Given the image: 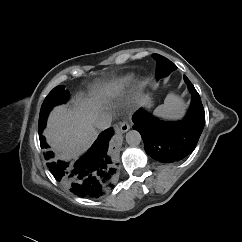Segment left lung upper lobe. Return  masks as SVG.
<instances>
[{
	"instance_id": "5c2ea615",
	"label": "left lung upper lobe",
	"mask_w": 242,
	"mask_h": 242,
	"mask_svg": "<svg viewBox=\"0 0 242 242\" xmlns=\"http://www.w3.org/2000/svg\"><path fill=\"white\" fill-rule=\"evenodd\" d=\"M154 59L157 61L156 78L159 79L161 76H167L171 71L176 69V65L173 64L167 58L153 54Z\"/></svg>"
}]
</instances>
